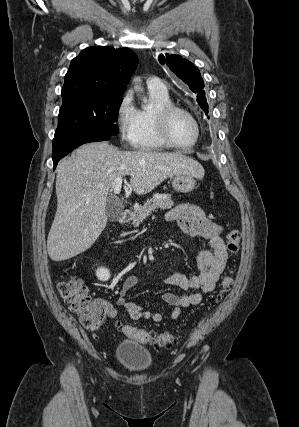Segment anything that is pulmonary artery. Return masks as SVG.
<instances>
[{
  "label": "pulmonary artery",
  "instance_id": "e3ab8cb5",
  "mask_svg": "<svg viewBox=\"0 0 299 427\" xmlns=\"http://www.w3.org/2000/svg\"><path fill=\"white\" fill-rule=\"evenodd\" d=\"M148 87L162 92L167 91V86L165 82L157 77L151 78L148 81Z\"/></svg>",
  "mask_w": 299,
  "mask_h": 427
}]
</instances>
